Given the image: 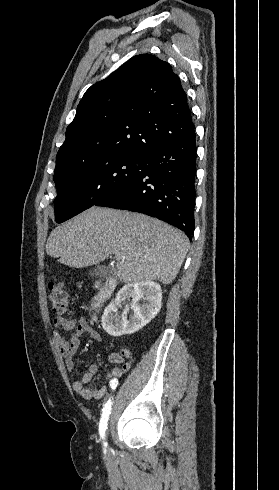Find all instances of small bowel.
<instances>
[{"label": "small bowel", "instance_id": "c3829d8e", "mask_svg": "<svg viewBox=\"0 0 279 490\" xmlns=\"http://www.w3.org/2000/svg\"><path fill=\"white\" fill-rule=\"evenodd\" d=\"M51 326L53 339L61 351L68 371L72 373L77 372L78 366L73 360V356L80 344V337L86 335L90 339L98 342L101 341L100 333L83 316L75 318L58 316L53 319ZM70 331H73V334L70 339H67L64 333ZM109 362L119 366L113 367L107 373L105 385L99 387L87 386L98 373L97 365H91L89 370L81 378L73 382V389L79 397L86 400L101 399L106 394L108 387L116 388L121 376L131 367V352L128 349H120L110 354Z\"/></svg>", "mask_w": 279, "mask_h": 490}]
</instances>
